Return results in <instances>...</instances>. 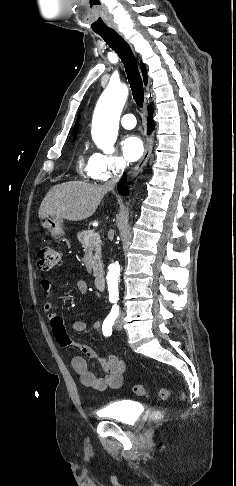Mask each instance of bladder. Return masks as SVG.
<instances>
[{"instance_id":"bladder-1","label":"bladder","mask_w":236,"mask_h":486,"mask_svg":"<svg viewBox=\"0 0 236 486\" xmlns=\"http://www.w3.org/2000/svg\"><path fill=\"white\" fill-rule=\"evenodd\" d=\"M139 405L133 401H117L106 405L100 411V416L123 423H133L139 414Z\"/></svg>"}]
</instances>
